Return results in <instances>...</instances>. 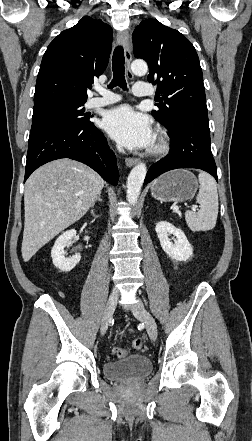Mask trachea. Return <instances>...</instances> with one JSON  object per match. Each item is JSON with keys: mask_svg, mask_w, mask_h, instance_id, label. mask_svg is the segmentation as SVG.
Listing matches in <instances>:
<instances>
[{"mask_svg": "<svg viewBox=\"0 0 252 441\" xmlns=\"http://www.w3.org/2000/svg\"><path fill=\"white\" fill-rule=\"evenodd\" d=\"M125 59H124V51L122 46H117L114 50L112 57V70H113V79L109 89L113 87L119 86L123 90H127V84L125 81V67H124Z\"/></svg>", "mask_w": 252, "mask_h": 441, "instance_id": "3493384b", "label": "trachea"}]
</instances>
